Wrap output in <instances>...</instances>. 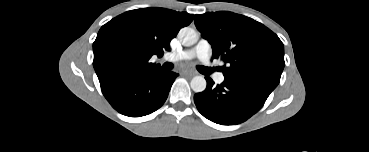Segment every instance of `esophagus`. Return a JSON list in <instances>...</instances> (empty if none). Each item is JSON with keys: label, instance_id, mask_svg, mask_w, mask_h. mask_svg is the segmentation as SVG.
Wrapping results in <instances>:
<instances>
[{"label": "esophagus", "instance_id": "esophagus-1", "mask_svg": "<svg viewBox=\"0 0 369 152\" xmlns=\"http://www.w3.org/2000/svg\"><path fill=\"white\" fill-rule=\"evenodd\" d=\"M197 73L194 72V71H185L183 72V75L186 76V77H193L195 76Z\"/></svg>", "mask_w": 369, "mask_h": 152}]
</instances>
